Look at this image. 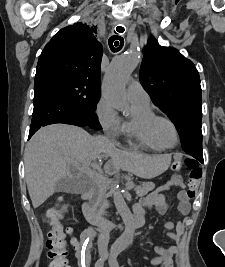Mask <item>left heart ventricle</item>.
I'll use <instances>...</instances> for the list:
<instances>
[{
    "instance_id": "b2bd125f",
    "label": "left heart ventricle",
    "mask_w": 225,
    "mask_h": 267,
    "mask_svg": "<svg viewBox=\"0 0 225 267\" xmlns=\"http://www.w3.org/2000/svg\"><path fill=\"white\" fill-rule=\"evenodd\" d=\"M157 133L159 140L166 146H172L176 142V134L173 127L167 122H161L158 125Z\"/></svg>"
}]
</instances>
